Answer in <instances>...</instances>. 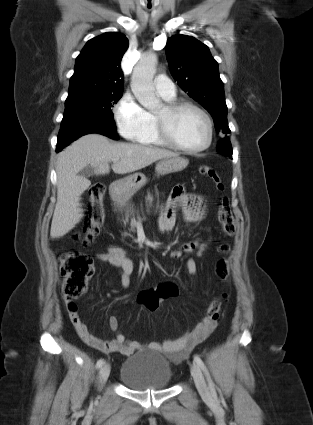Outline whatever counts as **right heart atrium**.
<instances>
[{"mask_svg": "<svg viewBox=\"0 0 313 425\" xmlns=\"http://www.w3.org/2000/svg\"><path fill=\"white\" fill-rule=\"evenodd\" d=\"M114 118L120 134L132 141L141 139L152 126L150 114L128 93L116 104Z\"/></svg>", "mask_w": 313, "mask_h": 425, "instance_id": "obj_1", "label": "right heart atrium"}]
</instances>
